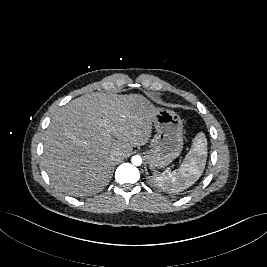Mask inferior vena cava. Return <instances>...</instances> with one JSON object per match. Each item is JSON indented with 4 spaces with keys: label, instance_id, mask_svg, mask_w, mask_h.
I'll return each mask as SVG.
<instances>
[{
    "label": "inferior vena cava",
    "instance_id": "obj_1",
    "mask_svg": "<svg viewBox=\"0 0 267 267\" xmlns=\"http://www.w3.org/2000/svg\"><path fill=\"white\" fill-rule=\"evenodd\" d=\"M111 158H112V160H114V161L121 160V152H120L119 150H114V151L111 153Z\"/></svg>",
    "mask_w": 267,
    "mask_h": 267
}]
</instances>
